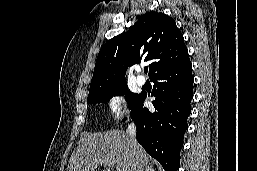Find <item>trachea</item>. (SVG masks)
<instances>
[{
  "label": "trachea",
  "mask_w": 257,
  "mask_h": 171,
  "mask_svg": "<svg viewBox=\"0 0 257 171\" xmlns=\"http://www.w3.org/2000/svg\"><path fill=\"white\" fill-rule=\"evenodd\" d=\"M144 72L147 73L148 72V68H144Z\"/></svg>",
  "instance_id": "obj_1"
}]
</instances>
